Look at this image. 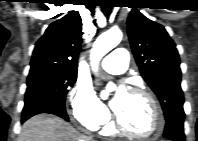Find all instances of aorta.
<instances>
[{
    "instance_id": "obj_1",
    "label": "aorta",
    "mask_w": 198,
    "mask_h": 141,
    "mask_svg": "<svg viewBox=\"0 0 198 141\" xmlns=\"http://www.w3.org/2000/svg\"><path fill=\"white\" fill-rule=\"evenodd\" d=\"M122 31L118 28L110 29L102 33L94 42L90 53V60L94 71H97L99 61L104 55L115 48L122 40ZM115 86L108 84L106 90L101 92V97L107 99L109 92L113 91Z\"/></svg>"
}]
</instances>
